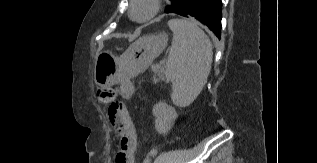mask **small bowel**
<instances>
[{
	"instance_id": "obj_1",
	"label": "small bowel",
	"mask_w": 317,
	"mask_h": 163,
	"mask_svg": "<svg viewBox=\"0 0 317 163\" xmlns=\"http://www.w3.org/2000/svg\"><path fill=\"white\" fill-rule=\"evenodd\" d=\"M119 86L121 94L124 98H129L132 95L134 91V85L131 81L123 79L119 82ZM118 133L119 150L115 156V163H133L137 141L133 125L128 117L125 118L123 130Z\"/></svg>"
}]
</instances>
